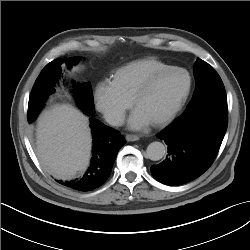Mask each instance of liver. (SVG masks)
<instances>
[{
    "label": "liver",
    "instance_id": "6515ba94",
    "mask_svg": "<svg viewBox=\"0 0 250 250\" xmlns=\"http://www.w3.org/2000/svg\"><path fill=\"white\" fill-rule=\"evenodd\" d=\"M36 154L43 167L59 179H70L89 164L88 118L69 104L46 110L37 123Z\"/></svg>",
    "mask_w": 250,
    "mask_h": 250
}]
</instances>
